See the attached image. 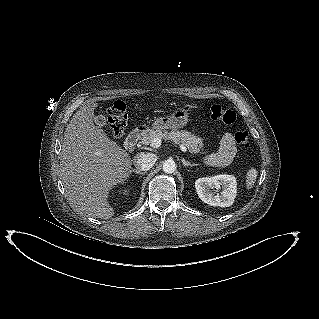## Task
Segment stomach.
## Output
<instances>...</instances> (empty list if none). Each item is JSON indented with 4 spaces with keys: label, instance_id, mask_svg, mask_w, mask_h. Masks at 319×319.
I'll list each match as a JSON object with an SVG mask.
<instances>
[{
    "label": "stomach",
    "instance_id": "stomach-1",
    "mask_svg": "<svg viewBox=\"0 0 319 319\" xmlns=\"http://www.w3.org/2000/svg\"><path fill=\"white\" fill-rule=\"evenodd\" d=\"M190 108L180 106L176 108L171 114L162 116L154 120L153 127L156 130H178L187 125L189 121Z\"/></svg>",
    "mask_w": 319,
    "mask_h": 319
}]
</instances>
